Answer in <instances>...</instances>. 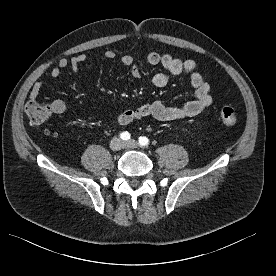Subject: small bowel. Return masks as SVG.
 Wrapping results in <instances>:
<instances>
[{
    "label": "small bowel",
    "mask_w": 276,
    "mask_h": 276,
    "mask_svg": "<svg viewBox=\"0 0 276 276\" xmlns=\"http://www.w3.org/2000/svg\"><path fill=\"white\" fill-rule=\"evenodd\" d=\"M104 57L108 60H113L116 54L112 50H106L104 52ZM86 61V54H78L71 58H61L57 66L50 70V76L52 78H58L61 71L67 67H71L74 73L80 76V68ZM146 61L151 65H161L166 70V72L155 73L151 77V82L154 86L164 87L172 78L185 73L195 91V98L181 107H171L162 102H154L142 105L136 109L126 110L116 118L118 124L126 125L134 120L148 116L162 121L177 120L184 117L195 116L211 105L212 96L210 93V86L198 72L195 61L181 60L168 54L161 55L155 52L149 53L146 56ZM121 63L126 67H130V73L134 79H140L142 77V73L132 56L123 55L121 57ZM42 87V81L35 82L30 90V98L36 99L40 95ZM51 106L53 112L57 115L63 114L67 109L66 103L61 99L54 100Z\"/></svg>",
    "instance_id": "small-bowel-1"
}]
</instances>
